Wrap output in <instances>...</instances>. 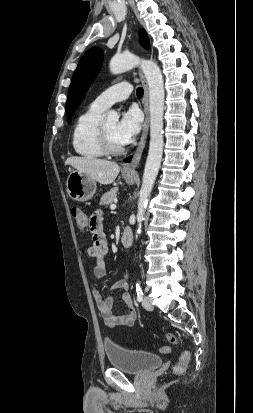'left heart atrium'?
Returning a JSON list of instances; mask_svg holds the SVG:
<instances>
[{
    "label": "left heart atrium",
    "mask_w": 253,
    "mask_h": 413,
    "mask_svg": "<svg viewBox=\"0 0 253 413\" xmlns=\"http://www.w3.org/2000/svg\"><path fill=\"white\" fill-rule=\"evenodd\" d=\"M142 118L135 108L125 111L116 125V137L122 145L131 143L141 129Z\"/></svg>",
    "instance_id": "39dd6f15"
}]
</instances>
